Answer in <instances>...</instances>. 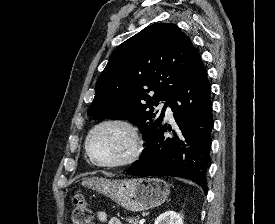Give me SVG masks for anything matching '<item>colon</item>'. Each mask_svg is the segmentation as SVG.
I'll use <instances>...</instances> for the list:
<instances>
[{
  "mask_svg": "<svg viewBox=\"0 0 275 224\" xmlns=\"http://www.w3.org/2000/svg\"><path fill=\"white\" fill-rule=\"evenodd\" d=\"M74 208L71 219L73 224H92V212L81 194L73 198Z\"/></svg>",
  "mask_w": 275,
  "mask_h": 224,
  "instance_id": "5ec220e1",
  "label": "colon"
}]
</instances>
